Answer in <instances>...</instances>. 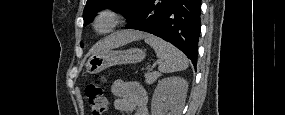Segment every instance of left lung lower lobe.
I'll use <instances>...</instances> for the list:
<instances>
[{"label":"left lung lower lobe","instance_id":"1","mask_svg":"<svg viewBox=\"0 0 285 115\" xmlns=\"http://www.w3.org/2000/svg\"><path fill=\"white\" fill-rule=\"evenodd\" d=\"M200 15L199 0H141L127 16L125 28L145 31L172 43L196 66Z\"/></svg>","mask_w":285,"mask_h":115}]
</instances>
